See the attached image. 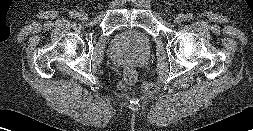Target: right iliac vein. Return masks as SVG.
Here are the masks:
<instances>
[{
    "label": "right iliac vein",
    "instance_id": "obj_1",
    "mask_svg": "<svg viewBox=\"0 0 253 131\" xmlns=\"http://www.w3.org/2000/svg\"><path fill=\"white\" fill-rule=\"evenodd\" d=\"M78 18L82 21H86L88 19V14L85 12L78 13Z\"/></svg>",
    "mask_w": 253,
    "mask_h": 131
}]
</instances>
